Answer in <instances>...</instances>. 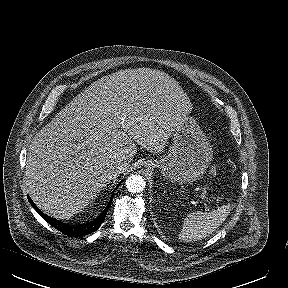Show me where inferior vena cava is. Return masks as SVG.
Listing matches in <instances>:
<instances>
[{"mask_svg":"<svg viewBox=\"0 0 288 288\" xmlns=\"http://www.w3.org/2000/svg\"><path fill=\"white\" fill-rule=\"evenodd\" d=\"M124 170V165L123 164H110L108 167L105 169V176L108 179H114L116 178L122 171Z\"/></svg>","mask_w":288,"mask_h":288,"instance_id":"inferior-vena-cava-1","label":"inferior vena cava"}]
</instances>
